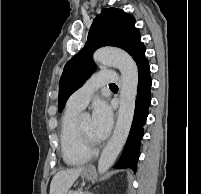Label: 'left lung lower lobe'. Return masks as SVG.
I'll return each mask as SVG.
<instances>
[{
  "label": "left lung lower lobe",
  "instance_id": "1",
  "mask_svg": "<svg viewBox=\"0 0 201 194\" xmlns=\"http://www.w3.org/2000/svg\"><path fill=\"white\" fill-rule=\"evenodd\" d=\"M132 57L138 66L139 76L135 113L124 151L114 167L131 168L133 171H136L137 160L140 154V141L144 132L143 125L148 116V108L151 103L152 80L149 62L145 57V46L141 41L138 43Z\"/></svg>",
  "mask_w": 201,
  "mask_h": 194
}]
</instances>
